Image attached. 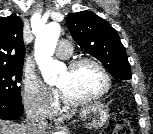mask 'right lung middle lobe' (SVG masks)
I'll list each match as a JSON object with an SVG mask.
<instances>
[{"mask_svg": "<svg viewBox=\"0 0 153 134\" xmlns=\"http://www.w3.org/2000/svg\"><path fill=\"white\" fill-rule=\"evenodd\" d=\"M22 68L0 67V98L22 102L20 86L22 79Z\"/></svg>", "mask_w": 153, "mask_h": 134, "instance_id": "obj_1", "label": "right lung middle lobe"}]
</instances>
